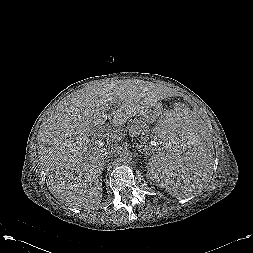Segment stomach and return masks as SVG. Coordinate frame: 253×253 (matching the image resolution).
<instances>
[{"instance_id":"1","label":"stomach","mask_w":253,"mask_h":253,"mask_svg":"<svg viewBox=\"0 0 253 253\" xmlns=\"http://www.w3.org/2000/svg\"><path fill=\"white\" fill-rule=\"evenodd\" d=\"M160 111L154 106L150 105L140 111L139 116L145 122H154V120L159 116Z\"/></svg>"}]
</instances>
